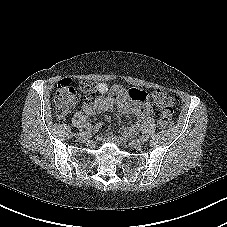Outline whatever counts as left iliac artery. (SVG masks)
Returning <instances> with one entry per match:
<instances>
[{"label":"left iliac artery","mask_w":227,"mask_h":227,"mask_svg":"<svg viewBox=\"0 0 227 227\" xmlns=\"http://www.w3.org/2000/svg\"><path fill=\"white\" fill-rule=\"evenodd\" d=\"M140 139L143 140L144 142L148 141L149 140V136L143 134L140 136Z\"/></svg>","instance_id":"1"}]
</instances>
